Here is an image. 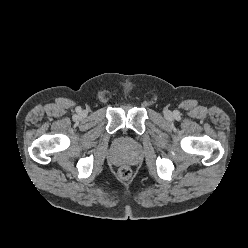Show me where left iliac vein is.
<instances>
[{
  "mask_svg": "<svg viewBox=\"0 0 248 248\" xmlns=\"http://www.w3.org/2000/svg\"><path fill=\"white\" fill-rule=\"evenodd\" d=\"M165 117L167 118V119H171L172 118V113L170 112V111H165Z\"/></svg>",
  "mask_w": 248,
  "mask_h": 248,
  "instance_id": "obj_1",
  "label": "left iliac vein"
}]
</instances>
